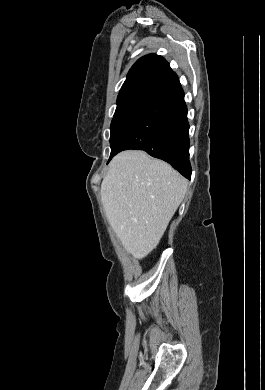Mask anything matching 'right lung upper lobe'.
I'll use <instances>...</instances> for the list:
<instances>
[{"mask_svg": "<svg viewBox=\"0 0 265 390\" xmlns=\"http://www.w3.org/2000/svg\"><path fill=\"white\" fill-rule=\"evenodd\" d=\"M180 84L177 75L161 56L149 54L138 59L128 72L117 102L134 97L157 99Z\"/></svg>", "mask_w": 265, "mask_h": 390, "instance_id": "right-lung-upper-lobe-1", "label": "right lung upper lobe"}]
</instances>
